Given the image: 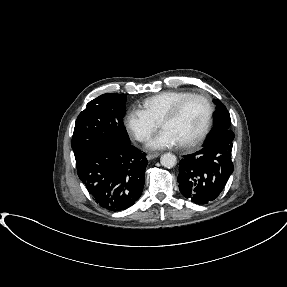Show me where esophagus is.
Instances as JSON below:
<instances>
[{"mask_svg": "<svg viewBox=\"0 0 287 287\" xmlns=\"http://www.w3.org/2000/svg\"><path fill=\"white\" fill-rule=\"evenodd\" d=\"M159 156H160V153H152V154L147 155V159L152 160V159L157 158Z\"/></svg>", "mask_w": 287, "mask_h": 287, "instance_id": "1", "label": "esophagus"}]
</instances>
